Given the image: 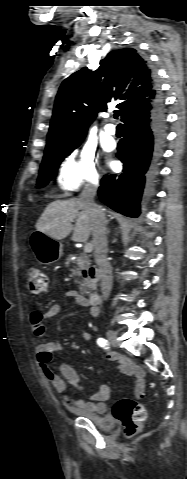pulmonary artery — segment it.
Masks as SVG:
<instances>
[{
  "mask_svg": "<svg viewBox=\"0 0 187 479\" xmlns=\"http://www.w3.org/2000/svg\"><path fill=\"white\" fill-rule=\"evenodd\" d=\"M105 131L107 134L109 135H115L116 132H117V129H116V126L112 123H108L106 126H105Z\"/></svg>",
  "mask_w": 187,
  "mask_h": 479,
  "instance_id": "1",
  "label": "pulmonary artery"
}]
</instances>
